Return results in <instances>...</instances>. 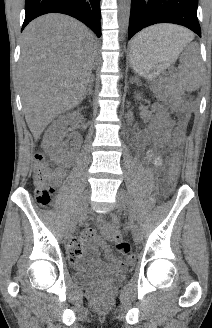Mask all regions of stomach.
<instances>
[{"label": "stomach", "instance_id": "1", "mask_svg": "<svg viewBox=\"0 0 212 328\" xmlns=\"http://www.w3.org/2000/svg\"><path fill=\"white\" fill-rule=\"evenodd\" d=\"M133 40L130 61L133 70L140 76L153 80L157 78L179 55L184 47L175 40H159L147 47L136 50Z\"/></svg>", "mask_w": 212, "mask_h": 328}]
</instances>
